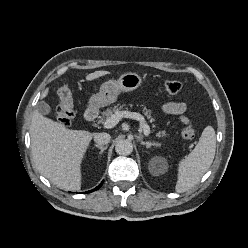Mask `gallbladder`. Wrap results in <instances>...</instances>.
<instances>
[{"label":"gallbladder","mask_w":248,"mask_h":248,"mask_svg":"<svg viewBox=\"0 0 248 248\" xmlns=\"http://www.w3.org/2000/svg\"><path fill=\"white\" fill-rule=\"evenodd\" d=\"M36 110L40 114L46 115V114H49L51 112V107L46 102L40 101L36 105Z\"/></svg>","instance_id":"1"}]
</instances>
